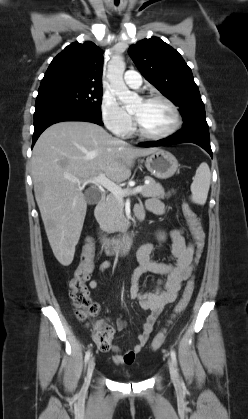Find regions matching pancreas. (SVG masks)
<instances>
[{"label":"pancreas","instance_id":"obj_1","mask_svg":"<svg viewBox=\"0 0 248 419\" xmlns=\"http://www.w3.org/2000/svg\"><path fill=\"white\" fill-rule=\"evenodd\" d=\"M145 180L149 184L142 186L141 195L143 197H158L164 198L170 196V192L165 194L161 184L157 183L152 177L146 176ZM123 200L117 198L113 194L107 196L103 206L102 217L99 219L101 228L107 233H114L123 231L127 226V220L123 213Z\"/></svg>","mask_w":248,"mask_h":419}]
</instances>
